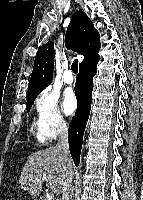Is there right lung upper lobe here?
<instances>
[{
	"label": "right lung upper lobe",
	"instance_id": "right-lung-upper-lobe-1",
	"mask_svg": "<svg viewBox=\"0 0 143 200\" xmlns=\"http://www.w3.org/2000/svg\"><path fill=\"white\" fill-rule=\"evenodd\" d=\"M99 33L92 21L81 11L73 14L65 36V45L84 56L82 64L100 49ZM55 51L53 42L43 45L36 53L26 99L36 97L53 78Z\"/></svg>",
	"mask_w": 143,
	"mask_h": 200
}]
</instances>
